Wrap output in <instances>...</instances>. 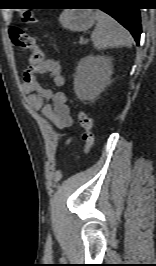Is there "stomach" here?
Listing matches in <instances>:
<instances>
[{
	"instance_id": "obj_1",
	"label": "stomach",
	"mask_w": 156,
	"mask_h": 266,
	"mask_svg": "<svg viewBox=\"0 0 156 266\" xmlns=\"http://www.w3.org/2000/svg\"><path fill=\"white\" fill-rule=\"evenodd\" d=\"M95 13L89 9H66L60 17V24L70 31H85L95 23Z\"/></svg>"
}]
</instances>
